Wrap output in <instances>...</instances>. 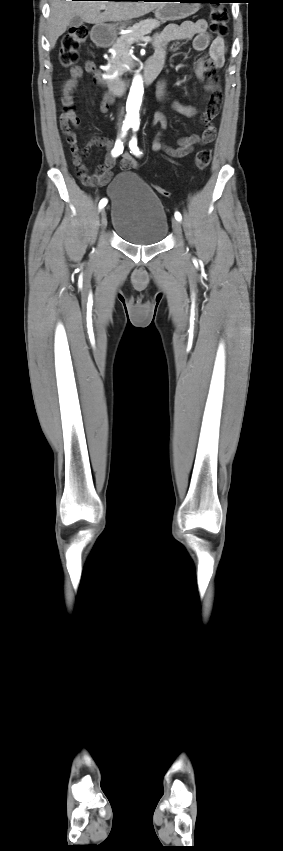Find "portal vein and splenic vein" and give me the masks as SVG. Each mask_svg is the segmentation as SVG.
Returning <instances> with one entry per match:
<instances>
[{
	"mask_svg": "<svg viewBox=\"0 0 283 851\" xmlns=\"http://www.w3.org/2000/svg\"><path fill=\"white\" fill-rule=\"evenodd\" d=\"M101 9H104V6H103ZM140 39H141L142 41L146 42V43H148V42H150V41H151V37H149V36L142 37V38H140ZM133 40H134V39H133Z\"/></svg>",
	"mask_w": 283,
	"mask_h": 851,
	"instance_id": "18ae733b",
	"label": "portal vein and splenic vein"
}]
</instances>
